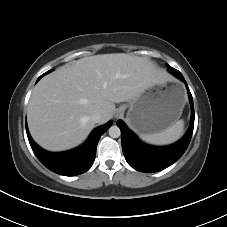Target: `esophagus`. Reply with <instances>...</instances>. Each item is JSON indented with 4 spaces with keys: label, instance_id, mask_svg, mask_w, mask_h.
I'll return each mask as SVG.
<instances>
[{
    "label": "esophagus",
    "instance_id": "obj_1",
    "mask_svg": "<svg viewBox=\"0 0 227 227\" xmlns=\"http://www.w3.org/2000/svg\"><path fill=\"white\" fill-rule=\"evenodd\" d=\"M123 113H124V110H123L122 108L118 109V110H117V113H116V117L122 116Z\"/></svg>",
    "mask_w": 227,
    "mask_h": 227
}]
</instances>
